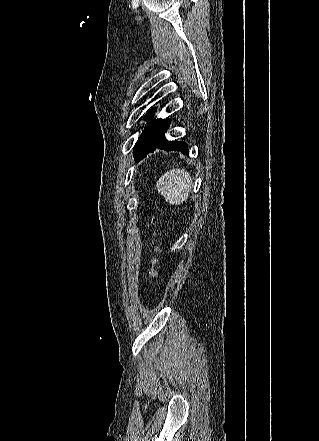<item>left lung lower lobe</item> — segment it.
<instances>
[{
    "label": "left lung lower lobe",
    "mask_w": 319,
    "mask_h": 441,
    "mask_svg": "<svg viewBox=\"0 0 319 441\" xmlns=\"http://www.w3.org/2000/svg\"><path fill=\"white\" fill-rule=\"evenodd\" d=\"M170 126V120H168L161 128L160 130L155 134V136L152 138L151 143L149 147L146 149V151L142 154L141 159H143L146 154L153 152L156 148L166 150V151H179L183 154H188V146L183 141H168L165 139L164 134L167 131V129Z\"/></svg>",
    "instance_id": "1"
}]
</instances>
